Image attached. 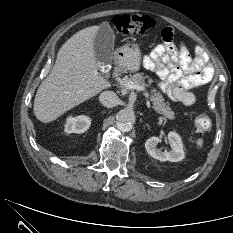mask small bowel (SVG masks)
<instances>
[{
    "label": "small bowel",
    "instance_id": "small-bowel-1",
    "mask_svg": "<svg viewBox=\"0 0 233 233\" xmlns=\"http://www.w3.org/2000/svg\"><path fill=\"white\" fill-rule=\"evenodd\" d=\"M162 37L163 43L144 58V66L156 73L159 89L171 100L191 106L196 102L191 89L211 81L214 69L201 47L194 48L192 57L186 46L176 45L171 28L163 29Z\"/></svg>",
    "mask_w": 233,
    "mask_h": 233
}]
</instances>
